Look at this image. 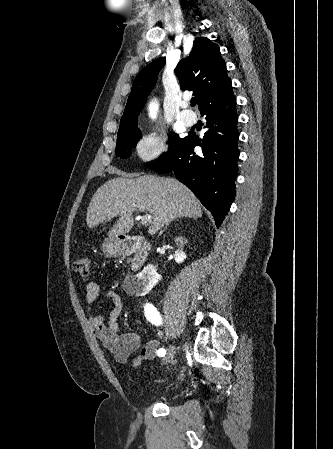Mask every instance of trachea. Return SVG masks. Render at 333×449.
<instances>
[{
	"label": "trachea",
	"instance_id": "3493384b",
	"mask_svg": "<svg viewBox=\"0 0 333 449\" xmlns=\"http://www.w3.org/2000/svg\"><path fill=\"white\" fill-rule=\"evenodd\" d=\"M196 103H197V100H196L195 98H193V99L191 100V106H195Z\"/></svg>",
	"mask_w": 333,
	"mask_h": 449
}]
</instances>
